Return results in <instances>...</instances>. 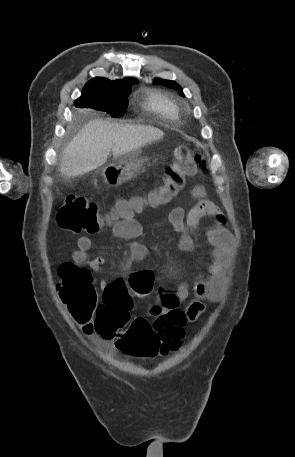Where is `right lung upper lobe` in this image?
Masks as SVG:
<instances>
[{
	"mask_svg": "<svg viewBox=\"0 0 295 457\" xmlns=\"http://www.w3.org/2000/svg\"><path fill=\"white\" fill-rule=\"evenodd\" d=\"M136 79L126 78L124 80L110 81L105 78L96 77L91 79L85 86V90H102V91H115L123 88L130 87L131 84H134Z\"/></svg>",
	"mask_w": 295,
	"mask_h": 457,
	"instance_id": "cb5924a9",
	"label": "right lung upper lobe"
}]
</instances>
